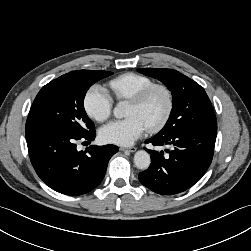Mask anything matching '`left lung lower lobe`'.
<instances>
[{
	"label": "left lung lower lobe",
	"instance_id": "left-lung-lower-lobe-1",
	"mask_svg": "<svg viewBox=\"0 0 251 251\" xmlns=\"http://www.w3.org/2000/svg\"><path fill=\"white\" fill-rule=\"evenodd\" d=\"M217 126L183 128L166 136L145 141L154 146L171 145L164 152L146 149L150 167L139 174V181L155 193L173 195L193 186L207 171L213 158Z\"/></svg>",
	"mask_w": 251,
	"mask_h": 251
}]
</instances>
